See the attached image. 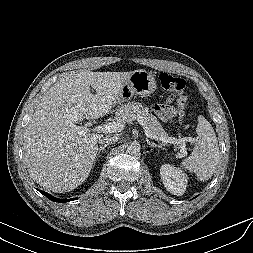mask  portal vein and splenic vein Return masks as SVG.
I'll use <instances>...</instances> for the list:
<instances>
[{"mask_svg":"<svg viewBox=\"0 0 253 253\" xmlns=\"http://www.w3.org/2000/svg\"><path fill=\"white\" fill-rule=\"evenodd\" d=\"M137 120H138L139 124L143 126L144 133L146 134L147 137H149L151 139L159 140V141H162V142H166V143L177 144L181 148V153L183 155L186 154L185 142L187 141V138L176 139L174 137H168V138L158 137L155 134H153L145 126V123L143 122L142 117H138ZM124 127H125L124 123H121V122H112L111 123L110 122V123H107V124H102V125L95 126L91 130L95 131V132H102V133H116V132H121L124 129ZM75 131L79 135H82V134L87 133L90 130L86 126H75Z\"/></svg>","mask_w":253,"mask_h":253,"instance_id":"obj_1","label":"portal vein and splenic vein"}]
</instances>
